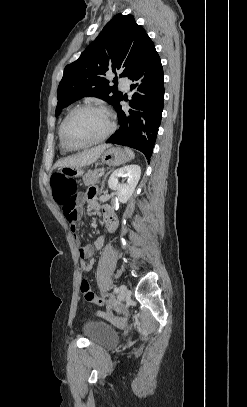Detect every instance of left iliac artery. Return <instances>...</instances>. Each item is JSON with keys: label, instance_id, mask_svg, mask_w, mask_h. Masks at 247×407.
<instances>
[{"label": "left iliac artery", "instance_id": "44dca946", "mask_svg": "<svg viewBox=\"0 0 247 407\" xmlns=\"http://www.w3.org/2000/svg\"><path fill=\"white\" fill-rule=\"evenodd\" d=\"M114 291H115V292H118V288H115Z\"/></svg>", "mask_w": 247, "mask_h": 407}]
</instances>
